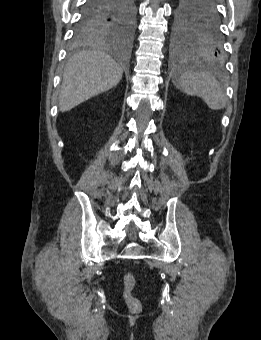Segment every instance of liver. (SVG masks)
<instances>
[{
    "label": "liver",
    "mask_w": 261,
    "mask_h": 340,
    "mask_svg": "<svg viewBox=\"0 0 261 340\" xmlns=\"http://www.w3.org/2000/svg\"><path fill=\"white\" fill-rule=\"evenodd\" d=\"M123 70L108 54L81 51L67 63L59 95V109L66 112L115 87Z\"/></svg>",
    "instance_id": "liver-1"
}]
</instances>
